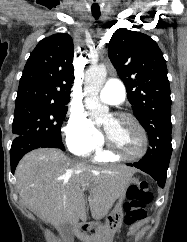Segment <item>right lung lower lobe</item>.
<instances>
[{
	"instance_id": "obj_1",
	"label": "right lung lower lobe",
	"mask_w": 187,
	"mask_h": 242,
	"mask_svg": "<svg viewBox=\"0 0 187 242\" xmlns=\"http://www.w3.org/2000/svg\"><path fill=\"white\" fill-rule=\"evenodd\" d=\"M59 148L65 150L61 140L40 138L34 136H18L13 140L10 150L11 154V172L14 174L15 168L20 159L29 151L37 148Z\"/></svg>"
}]
</instances>
